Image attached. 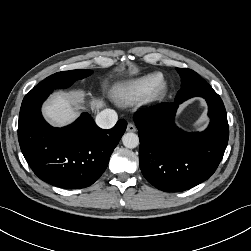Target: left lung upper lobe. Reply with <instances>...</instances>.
I'll return each instance as SVG.
<instances>
[{
	"instance_id": "left-lung-upper-lobe-1",
	"label": "left lung upper lobe",
	"mask_w": 251,
	"mask_h": 251,
	"mask_svg": "<svg viewBox=\"0 0 251 251\" xmlns=\"http://www.w3.org/2000/svg\"><path fill=\"white\" fill-rule=\"evenodd\" d=\"M176 70L181 76L182 87L180 90L197 88L207 83L199 74L191 69L176 68Z\"/></svg>"
}]
</instances>
